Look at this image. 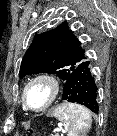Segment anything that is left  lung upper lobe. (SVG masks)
<instances>
[{
    "label": "left lung upper lobe",
    "instance_id": "5c2ea615",
    "mask_svg": "<svg viewBox=\"0 0 117 136\" xmlns=\"http://www.w3.org/2000/svg\"><path fill=\"white\" fill-rule=\"evenodd\" d=\"M86 58L85 46L65 21L34 37L23 57L19 76L50 73L57 74L65 82L75 67Z\"/></svg>",
    "mask_w": 117,
    "mask_h": 136
}]
</instances>
